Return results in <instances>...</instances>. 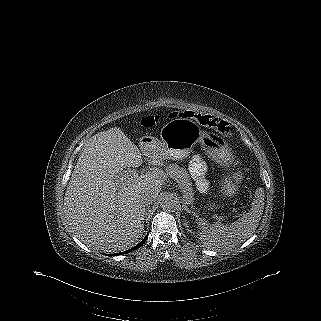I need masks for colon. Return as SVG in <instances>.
I'll list each match as a JSON object with an SVG mask.
<instances>
[{
  "label": "colon",
  "mask_w": 321,
  "mask_h": 321,
  "mask_svg": "<svg viewBox=\"0 0 321 321\" xmlns=\"http://www.w3.org/2000/svg\"><path fill=\"white\" fill-rule=\"evenodd\" d=\"M172 116L181 117V118H193L200 125L206 128L213 129L224 137H231L232 135V130L228 122L219 120L210 115L195 113L191 111H181V112H176L172 114ZM234 164L236 167L234 178L235 180H240L242 178V171L240 169V165H241L240 159L236 158Z\"/></svg>",
  "instance_id": "5ec220e1"
}]
</instances>
